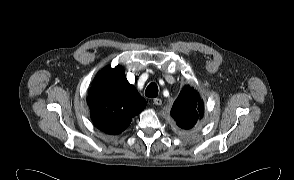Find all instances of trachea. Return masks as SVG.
<instances>
[{
  "instance_id": "1",
  "label": "trachea",
  "mask_w": 294,
  "mask_h": 180,
  "mask_svg": "<svg viewBox=\"0 0 294 180\" xmlns=\"http://www.w3.org/2000/svg\"><path fill=\"white\" fill-rule=\"evenodd\" d=\"M145 95L147 97H151V98H154V97H157L158 95V86L156 83H150L146 90H145Z\"/></svg>"
}]
</instances>
